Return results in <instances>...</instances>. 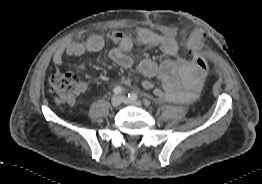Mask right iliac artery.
Here are the masks:
<instances>
[{
	"instance_id": "82829eb1",
	"label": "right iliac artery",
	"mask_w": 262,
	"mask_h": 184,
	"mask_svg": "<svg viewBox=\"0 0 262 184\" xmlns=\"http://www.w3.org/2000/svg\"><path fill=\"white\" fill-rule=\"evenodd\" d=\"M113 92H114L116 95H120V94L123 92V89H122V87H120V86H116V87H114Z\"/></svg>"
}]
</instances>
